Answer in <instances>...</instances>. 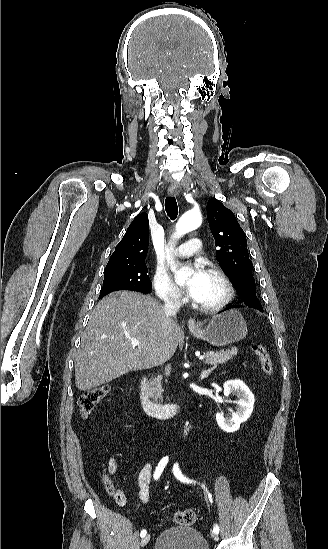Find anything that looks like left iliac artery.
Listing matches in <instances>:
<instances>
[{
  "instance_id": "obj_1",
  "label": "left iliac artery",
  "mask_w": 328,
  "mask_h": 549,
  "mask_svg": "<svg viewBox=\"0 0 328 549\" xmlns=\"http://www.w3.org/2000/svg\"><path fill=\"white\" fill-rule=\"evenodd\" d=\"M173 473H174L175 477H176L177 479H179L180 481H182V482H187V483H192V482H193L192 480H189L188 478L184 477V475L182 474L181 470L179 469L178 463H175V464H174V466H173ZM194 483H195V482H194ZM202 487H204V489H205V486H204V485H202ZM206 491H207V489H206ZM208 497H209L210 502L212 503V495H211L210 493H208ZM213 532H215V533H217V534L219 533V527H218L217 524L214 525Z\"/></svg>"
}]
</instances>
